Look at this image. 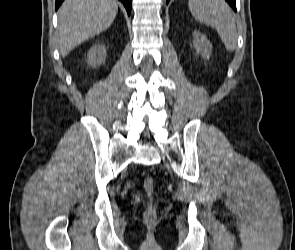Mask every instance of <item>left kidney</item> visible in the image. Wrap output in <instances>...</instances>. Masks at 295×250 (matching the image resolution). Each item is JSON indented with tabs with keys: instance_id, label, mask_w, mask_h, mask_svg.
I'll list each match as a JSON object with an SVG mask.
<instances>
[{
	"instance_id": "5707ae66",
	"label": "left kidney",
	"mask_w": 295,
	"mask_h": 250,
	"mask_svg": "<svg viewBox=\"0 0 295 250\" xmlns=\"http://www.w3.org/2000/svg\"><path fill=\"white\" fill-rule=\"evenodd\" d=\"M193 36V47L196 49V52L203 58L208 59L212 52V44L207 37L199 31H194Z\"/></svg>"
}]
</instances>
